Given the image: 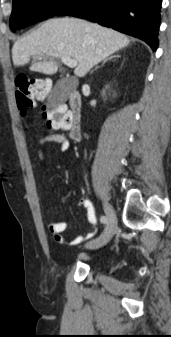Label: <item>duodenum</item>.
<instances>
[{"mask_svg":"<svg viewBox=\"0 0 171 337\" xmlns=\"http://www.w3.org/2000/svg\"><path fill=\"white\" fill-rule=\"evenodd\" d=\"M69 110L66 112L69 117V134L73 140H79L81 137L80 110L81 96L79 92L72 89L68 97Z\"/></svg>","mask_w":171,"mask_h":337,"instance_id":"410a0bca","label":"duodenum"}]
</instances>
